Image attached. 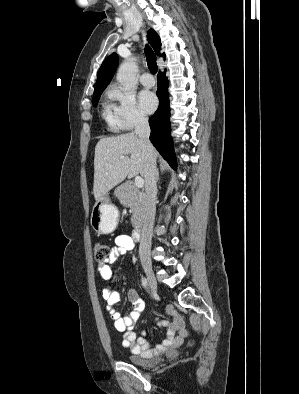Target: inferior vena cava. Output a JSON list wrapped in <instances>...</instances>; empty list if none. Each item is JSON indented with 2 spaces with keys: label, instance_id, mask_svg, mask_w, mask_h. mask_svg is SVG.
<instances>
[{
  "label": "inferior vena cava",
  "instance_id": "1",
  "mask_svg": "<svg viewBox=\"0 0 299 394\" xmlns=\"http://www.w3.org/2000/svg\"><path fill=\"white\" fill-rule=\"evenodd\" d=\"M135 135L138 136L145 157L144 179V221L141 232L139 255L142 264H151L150 250L152 229L155 219V200L157 195L156 186V159L153 154V146L150 143V127L148 119L138 114L135 121Z\"/></svg>",
  "mask_w": 299,
  "mask_h": 394
}]
</instances>
